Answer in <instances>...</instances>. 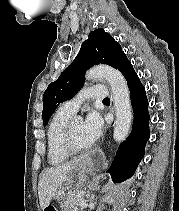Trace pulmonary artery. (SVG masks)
<instances>
[{
	"label": "pulmonary artery",
	"mask_w": 179,
	"mask_h": 211,
	"mask_svg": "<svg viewBox=\"0 0 179 211\" xmlns=\"http://www.w3.org/2000/svg\"><path fill=\"white\" fill-rule=\"evenodd\" d=\"M108 95V90L104 85L90 86L84 88L75 98L64 102L60 108L74 115L85 100L105 99Z\"/></svg>",
	"instance_id": "pulmonary-artery-1"
}]
</instances>
